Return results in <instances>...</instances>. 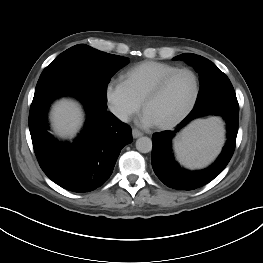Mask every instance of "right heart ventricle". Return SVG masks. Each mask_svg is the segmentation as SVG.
<instances>
[{"label":"right heart ventricle","instance_id":"e07e8e85","mask_svg":"<svg viewBox=\"0 0 263 263\" xmlns=\"http://www.w3.org/2000/svg\"><path fill=\"white\" fill-rule=\"evenodd\" d=\"M176 69L178 68L171 64L145 61L126 70L122 79L133 96L142 103L158 81Z\"/></svg>","mask_w":263,"mask_h":263}]
</instances>
